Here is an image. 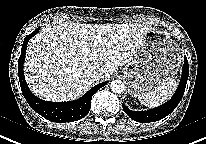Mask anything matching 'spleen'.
I'll list each match as a JSON object with an SVG mask.
<instances>
[{"label": "spleen", "mask_w": 206, "mask_h": 144, "mask_svg": "<svg viewBox=\"0 0 206 144\" xmlns=\"http://www.w3.org/2000/svg\"><path fill=\"white\" fill-rule=\"evenodd\" d=\"M176 86V80L174 78H170L159 88L140 96L139 101L141 102V104L149 108L157 107L165 103L169 98H171L176 89Z\"/></svg>", "instance_id": "spleen-1"}]
</instances>
